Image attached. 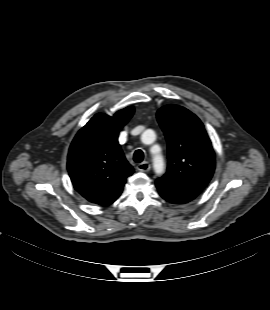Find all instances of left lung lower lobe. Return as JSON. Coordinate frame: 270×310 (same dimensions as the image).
<instances>
[{
  "label": "left lung lower lobe",
  "instance_id": "0a47b994",
  "mask_svg": "<svg viewBox=\"0 0 270 310\" xmlns=\"http://www.w3.org/2000/svg\"><path fill=\"white\" fill-rule=\"evenodd\" d=\"M156 187L165 200L176 204L187 203L201 193L198 189L181 188L159 180L156 181Z\"/></svg>",
  "mask_w": 270,
  "mask_h": 310
}]
</instances>
